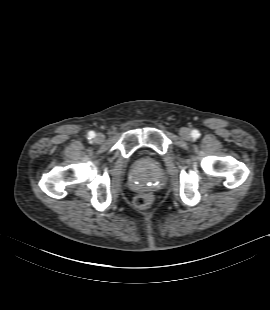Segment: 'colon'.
Instances as JSON below:
<instances>
[{
  "label": "colon",
  "mask_w": 270,
  "mask_h": 310,
  "mask_svg": "<svg viewBox=\"0 0 270 310\" xmlns=\"http://www.w3.org/2000/svg\"><path fill=\"white\" fill-rule=\"evenodd\" d=\"M153 202L154 196L149 192L138 195L134 200L136 207L143 210L150 208Z\"/></svg>",
  "instance_id": "obj_1"
}]
</instances>
